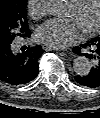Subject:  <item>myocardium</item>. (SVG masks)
Here are the masks:
<instances>
[{
    "label": "myocardium",
    "instance_id": "f54148a6",
    "mask_svg": "<svg viewBox=\"0 0 100 118\" xmlns=\"http://www.w3.org/2000/svg\"><path fill=\"white\" fill-rule=\"evenodd\" d=\"M86 0H73L72 1V6H74L76 9H79L83 6V4L85 3ZM98 4H99V16H98V21L97 23L90 29L85 30L84 34L86 36H93L95 35L99 29H100V0H98Z\"/></svg>",
    "mask_w": 100,
    "mask_h": 118
}]
</instances>
